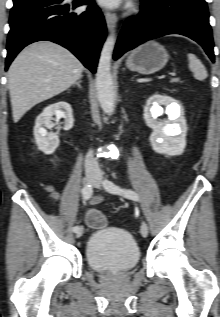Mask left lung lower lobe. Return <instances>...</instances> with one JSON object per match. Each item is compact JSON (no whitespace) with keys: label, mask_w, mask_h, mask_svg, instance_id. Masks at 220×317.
I'll return each mask as SVG.
<instances>
[{"label":"left lung lower lobe","mask_w":220,"mask_h":317,"mask_svg":"<svg viewBox=\"0 0 220 317\" xmlns=\"http://www.w3.org/2000/svg\"><path fill=\"white\" fill-rule=\"evenodd\" d=\"M141 12L124 24L114 59L166 34H181L198 42L214 62L213 38L205 0H141Z\"/></svg>","instance_id":"obj_1"}]
</instances>
